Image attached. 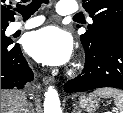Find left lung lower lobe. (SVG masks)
Masks as SVG:
<instances>
[{
	"label": "left lung lower lobe",
	"mask_w": 123,
	"mask_h": 113,
	"mask_svg": "<svg viewBox=\"0 0 123 113\" xmlns=\"http://www.w3.org/2000/svg\"><path fill=\"white\" fill-rule=\"evenodd\" d=\"M82 74L64 85L66 93L102 87L123 89V33L110 32L95 47H85Z\"/></svg>",
	"instance_id": "0a47b994"
}]
</instances>
